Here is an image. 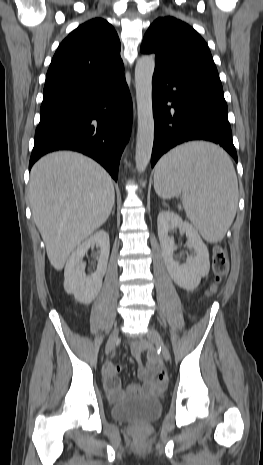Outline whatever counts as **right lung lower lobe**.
Returning a JSON list of instances; mask_svg holds the SVG:
<instances>
[{
    "label": "right lung lower lobe",
    "instance_id": "1",
    "mask_svg": "<svg viewBox=\"0 0 263 465\" xmlns=\"http://www.w3.org/2000/svg\"><path fill=\"white\" fill-rule=\"evenodd\" d=\"M131 122L124 74L115 81L43 96L29 169L49 152L74 150L95 159L117 181Z\"/></svg>",
    "mask_w": 263,
    "mask_h": 465
}]
</instances>
